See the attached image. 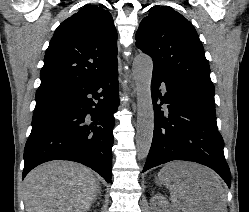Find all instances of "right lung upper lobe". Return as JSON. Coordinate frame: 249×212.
I'll use <instances>...</instances> for the list:
<instances>
[{"mask_svg": "<svg viewBox=\"0 0 249 212\" xmlns=\"http://www.w3.org/2000/svg\"><path fill=\"white\" fill-rule=\"evenodd\" d=\"M103 5H87L63 21L52 37L36 95L98 79L117 66V32Z\"/></svg>", "mask_w": 249, "mask_h": 212, "instance_id": "right-lung-upper-lobe-1", "label": "right lung upper lobe"}]
</instances>
